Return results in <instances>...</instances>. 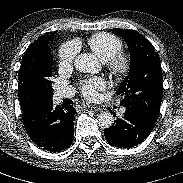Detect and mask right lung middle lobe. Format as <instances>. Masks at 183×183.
<instances>
[{
    "label": "right lung middle lobe",
    "instance_id": "right-lung-middle-lobe-1",
    "mask_svg": "<svg viewBox=\"0 0 183 183\" xmlns=\"http://www.w3.org/2000/svg\"><path fill=\"white\" fill-rule=\"evenodd\" d=\"M53 60L50 51L45 52L36 65V70L27 78L19 81L18 94L21 107L30 103L52 99L53 88L50 76Z\"/></svg>",
    "mask_w": 183,
    "mask_h": 183
}]
</instances>
